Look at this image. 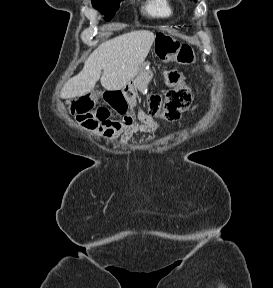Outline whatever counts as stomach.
Listing matches in <instances>:
<instances>
[{"label": "stomach", "mask_w": 273, "mask_h": 288, "mask_svg": "<svg viewBox=\"0 0 273 288\" xmlns=\"http://www.w3.org/2000/svg\"><path fill=\"white\" fill-rule=\"evenodd\" d=\"M176 40L164 33H161L157 36L155 45H154V53L155 55L161 59L162 61H169L173 57L174 45ZM148 63L144 62L139 71V75L136 80L131 84L130 82L125 85L129 89H140L143 90V87H139V84L146 86L152 78L151 71L147 68Z\"/></svg>", "instance_id": "0dacf381"}]
</instances>
